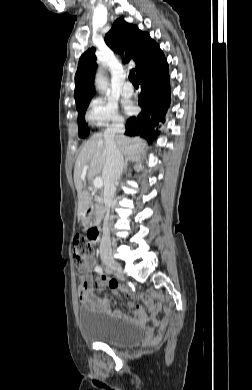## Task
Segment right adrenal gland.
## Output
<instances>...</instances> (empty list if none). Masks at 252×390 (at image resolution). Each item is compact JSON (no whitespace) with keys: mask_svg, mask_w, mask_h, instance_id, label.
<instances>
[{"mask_svg":"<svg viewBox=\"0 0 252 390\" xmlns=\"http://www.w3.org/2000/svg\"><path fill=\"white\" fill-rule=\"evenodd\" d=\"M134 161H138V158H134V157H127L125 158V162H124V171H126L127 169V166H128V162H134Z\"/></svg>","mask_w":252,"mask_h":390,"instance_id":"obj_1","label":"right adrenal gland"}]
</instances>
